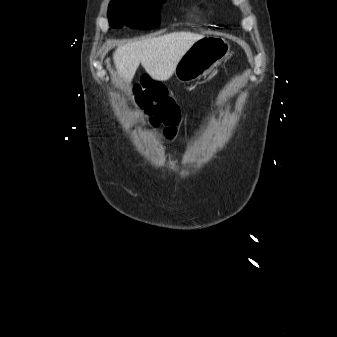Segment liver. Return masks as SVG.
I'll list each match as a JSON object with an SVG mask.
<instances>
[{
	"label": "liver",
	"instance_id": "1",
	"mask_svg": "<svg viewBox=\"0 0 337 337\" xmlns=\"http://www.w3.org/2000/svg\"><path fill=\"white\" fill-rule=\"evenodd\" d=\"M202 38L190 32H173L130 42L115 50L114 64L127 83L132 81L140 63L151 78L166 81L174 74L182 56Z\"/></svg>",
	"mask_w": 337,
	"mask_h": 337
}]
</instances>
